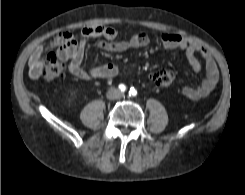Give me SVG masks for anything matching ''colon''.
Masks as SVG:
<instances>
[{"label":"colon","instance_id":"obj_1","mask_svg":"<svg viewBox=\"0 0 245 195\" xmlns=\"http://www.w3.org/2000/svg\"><path fill=\"white\" fill-rule=\"evenodd\" d=\"M66 73V65L53 53L47 55L44 63L43 79L46 82L63 78ZM151 80L156 88L169 86L174 80V73L169 69H159L151 74Z\"/></svg>","mask_w":245,"mask_h":195}]
</instances>
